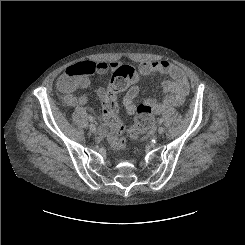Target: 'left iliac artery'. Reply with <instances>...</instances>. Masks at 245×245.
<instances>
[{
    "instance_id": "obj_1",
    "label": "left iliac artery",
    "mask_w": 245,
    "mask_h": 245,
    "mask_svg": "<svg viewBox=\"0 0 245 245\" xmlns=\"http://www.w3.org/2000/svg\"><path fill=\"white\" fill-rule=\"evenodd\" d=\"M162 122H163V119L162 118H159L158 123L159 124H162Z\"/></svg>"
}]
</instances>
